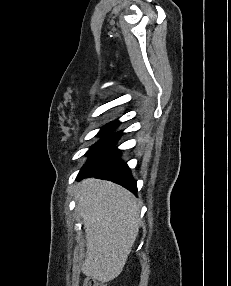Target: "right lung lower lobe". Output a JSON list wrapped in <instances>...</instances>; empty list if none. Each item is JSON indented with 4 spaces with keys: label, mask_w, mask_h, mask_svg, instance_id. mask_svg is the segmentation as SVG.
Segmentation results:
<instances>
[{
    "label": "right lung lower lobe",
    "mask_w": 231,
    "mask_h": 286,
    "mask_svg": "<svg viewBox=\"0 0 231 286\" xmlns=\"http://www.w3.org/2000/svg\"><path fill=\"white\" fill-rule=\"evenodd\" d=\"M120 136V132L112 134L89 152L90 158L80 170L77 179L96 177L110 180L136 193V182L126 163L120 161V152L115 147Z\"/></svg>",
    "instance_id": "obj_1"
}]
</instances>
